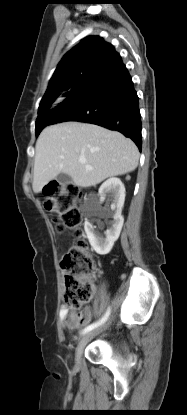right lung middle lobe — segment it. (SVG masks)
<instances>
[{
    "label": "right lung middle lobe",
    "instance_id": "dd1d6c3e",
    "mask_svg": "<svg viewBox=\"0 0 187 415\" xmlns=\"http://www.w3.org/2000/svg\"><path fill=\"white\" fill-rule=\"evenodd\" d=\"M82 82L74 86L73 88L69 89L67 92L61 95V97L52 105L43 107L39 109L38 111V117L36 120V136L40 134V132L48 125H50L51 122V116L53 112L56 110V108L69 96H71L73 93H75L78 88L81 86Z\"/></svg>",
    "mask_w": 187,
    "mask_h": 415
}]
</instances>
